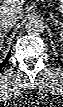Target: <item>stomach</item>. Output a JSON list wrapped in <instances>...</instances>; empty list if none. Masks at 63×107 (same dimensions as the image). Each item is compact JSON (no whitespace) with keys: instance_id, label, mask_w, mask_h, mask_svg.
Instances as JSON below:
<instances>
[{"instance_id":"stomach-1","label":"stomach","mask_w":63,"mask_h":107,"mask_svg":"<svg viewBox=\"0 0 63 107\" xmlns=\"http://www.w3.org/2000/svg\"><path fill=\"white\" fill-rule=\"evenodd\" d=\"M59 11L63 13V1L59 2Z\"/></svg>"}]
</instances>
